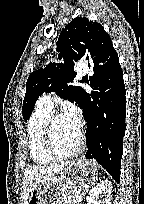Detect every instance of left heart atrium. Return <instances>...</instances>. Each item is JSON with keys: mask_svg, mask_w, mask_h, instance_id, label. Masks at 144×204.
Segmentation results:
<instances>
[{"mask_svg": "<svg viewBox=\"0 0 144 204\" xmlns=\"http://www.w3.org/2000/svg\"><path fill=\"white\" fill-rule=\"evenodd\" d=\"M64 116L68 119V121L75 127L77 131H80L82 127V121L79 114V111L76 107L70 106L68 107Z\"/></svg>", "mask_w": 144, "mask_h": 204, "instance_id": "1", "label": "left heart atrium"}]
</instances>
